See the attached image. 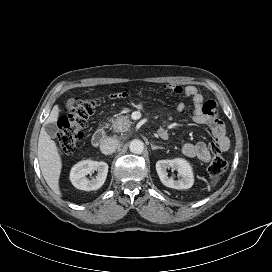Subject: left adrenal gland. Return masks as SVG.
I'll return each mask as SVG.
<instances>
[{"mask_svg":"<svg viewBox=\"0 0 272 272\" xmlns=\"http://www.w3.org/2000/svg\"><path fill=\"white\" fill-rule=\"evenodd\" d=\"M163 148H164V147H161V146L151 145V149H152V150L163 149Z\"/></svg>","mask_w":272,"mask_h":272,"instance_id":"a2214340","label":"left adrenal gland"}]
</instances>
